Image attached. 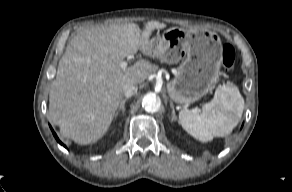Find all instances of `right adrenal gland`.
Instances as JSON below:
<instances>
[{
	"mask_svg": "<svg viewBox=\"0 0 292 192\" xmlns=\"http://www.w3.org/2000/svg\"><path fill=\"white\" fill-rule=\"evenodd\" d=\"M128 99L129 98L126 97L125 99L121 100L119 108L115 113V118L119 115V113H121L122 116L125 114V103Z\"/></svg>",
	"mask_w": 292,
	"mask_h": 192,
	"instance_id": "2a0ac1e0",
	"label": "right adrenal gland"
}]
</instances>
